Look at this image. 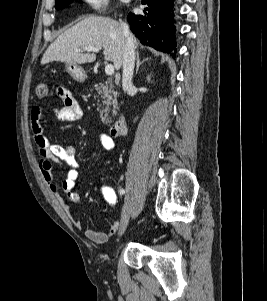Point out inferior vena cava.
Returning a JSON list of instances; mask_svg holds the SVG:
<instances>
[{
	"label": "inferior vena cava",
	"mask_w": 267,
	"mask_h": 301,
	"mask_svg": "<svg viewBox=\"0 0 267 301\" xmlns=\"http://www.w3.org/2000/svg\"><path fill=\"white\" fill-rule=\"evenodd\" d=\"M124 36L126 37L124 53H123V74L122 87L126 92L132 86L133 70L135 65L134 42L131 38L129 27L126 23H121Z\"/></svg>",
	"instance_id": "obj_1"
}]
</instances>
